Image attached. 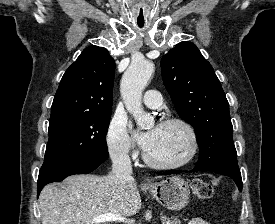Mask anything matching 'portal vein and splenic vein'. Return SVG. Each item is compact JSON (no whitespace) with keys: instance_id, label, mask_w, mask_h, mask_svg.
Segmentation results:
<instances>
[{"instance_id":"portal-vein-and-splenic-vein-1","label":"portal vein and splenic vein","mask_w":275,"mask_h":224,"mask_svg":"<svg viewBox=\"0 0 275 224\" xmlns=\"http://www.w3.org/2000/svg\"><path fill=\"white\" fill-rule=\"evenodd\" d=\"M92 222L94 224L108 223V222H122V223H128V224L133 223L132 220H129L123 216L115 215V214H105V215L94 217L92 219Z\"/></svg>"}]
</instances>
